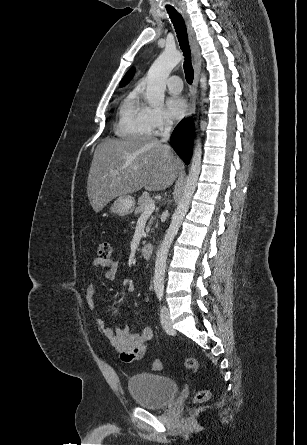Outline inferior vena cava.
Masks as SVG:
<instances>
[{
    "label": "inferior vena cava",
    "instance_id": "inferior-vena-cava-1",
    "mask_svg": "<svg viewBox=\"0 0 307 445\" xmlns=\"http://www.w3.org/2000/svg\"><path fill=\"white\" fill-rule=\"evenodd\" d=\"M172 124V120H168V118H165L163 126H160L159 128L161 132V142H166V140H169Z\"/></svg>",
    "mask_w": 307,
    "mask_h": 445
}]
</instances>
